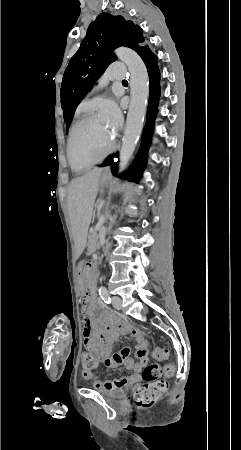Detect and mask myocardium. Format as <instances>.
<instances>
[{
    "instance_id": "obj_1",
    "label": "myocardium",
    "mask_w": 241,
    "mask_h": 450,
    "mask_svg": "<svg viewBox=\"0 0 241 450\" xmlns=\"http://www.w3.org/2000/svg\"><path fill=\"white\" fill-rule=\"evenodd\" d=\"M73 121H75V122H73V127L71 128V131H70V136L68 137V144H67V157H69V162H75L76 161V158L75 157H73L74 156V151H73V144H75V141L77 140V132H75V129L78 127V122H76V121H81V116H73ZM105 154V158L106 157H108V153H104ZM104 161V159L103 160H98V162H103Z\"/></svg>"
}]
</instances>
